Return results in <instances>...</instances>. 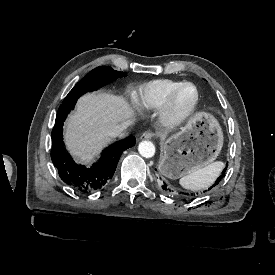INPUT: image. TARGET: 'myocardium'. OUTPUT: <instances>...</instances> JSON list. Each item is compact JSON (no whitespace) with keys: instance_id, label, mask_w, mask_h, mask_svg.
<instances>
[{"instance_id":"f54148a6","label":"myocardium","mask_w":275,"mask_h":275,"mask_svg":"<svg viewBox=\"0 0 275 275\" xmlns=\"http://www.w3.org/2000/svg\"><path fill=\"white\" fill-rule=\"evenodd\" d=\"M187 86L193 89L194 97L186 107L179 108L177 105L178 94L182 88ZM199 99V90L195 84L191 82L178 83L171 91L168 99L161 108L159 116L161 124L169 129H173L183 125L197 108Z\"/></svg>"}]
</instances>
